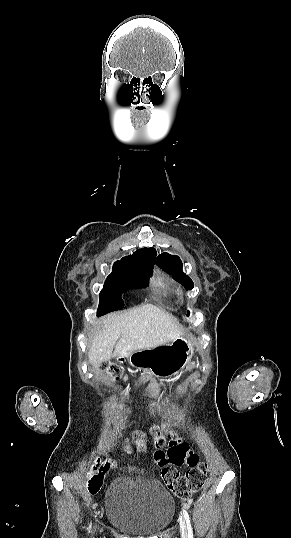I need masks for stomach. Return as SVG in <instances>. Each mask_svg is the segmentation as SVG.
<instances>
[{"instance_id":"stomach-1","label":"stomach","mask_w":291,"mask_h":538,"mask_svg":"<svg viewBox=\"0 0 291 538\" xmlns=\"http://www.w3.org/2000/svg\"><path fill=\"white\" fill-rule=\"evenodd\" d=\"M192 354L189 338L181 335L171 343L134 351L128 356V361L133 367L149 369L156 377L166 380L188 365Z\"/></svg>"}]
</instances>
